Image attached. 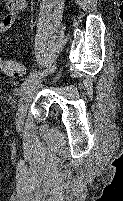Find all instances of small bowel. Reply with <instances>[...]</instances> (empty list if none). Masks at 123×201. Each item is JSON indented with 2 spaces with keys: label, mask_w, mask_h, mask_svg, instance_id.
<instances>
[{
  "label": "small bowel",
  "mask_w": 123,
  "mask_h": 201,
  "mask_svg": "<svg viewBox=\"0 0 123 201\" xmlns=\"http://www.w3.org/2000/svg\"><path fill=\"white\" fill-rule=\"evenodd\" d=\"M26 8V0H4V13L0 18V34L14 23L16 14Z\"/></svg>",
  "instance_id": "obj_1"
}]
</instances>
